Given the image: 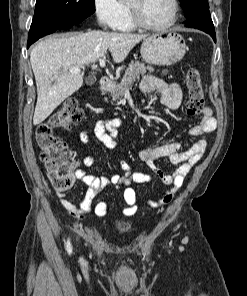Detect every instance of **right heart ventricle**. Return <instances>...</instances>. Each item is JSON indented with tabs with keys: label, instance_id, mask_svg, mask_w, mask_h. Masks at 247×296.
Here are the masks:
<instances>
[{
	"label": "right heart ventricle",
	"instance_id": "1",
	"mask_svg": "<svg viewBox=\"0 0 247 296\" xmlns=\"http://www.w3.org/2000/svg\"><path fill=\"white\" fill-rule=\"evenodd\" d=\"M124 8V16L121 20V22L118 24L116 29L120 31H132L135 29V25L132 22L130 10L128 8V5L126 3H122Z\"/></svg>",
	"mask_w": 247,
	"mask_h": 296
}]
</instances>
